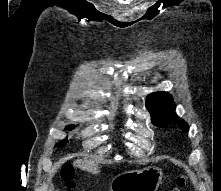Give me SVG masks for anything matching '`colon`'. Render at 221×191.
Here are the masks:
<instances>
[{"instance_id": "5ec220e1", "label": "colon", "mask_w": 221, "mask_h": 191, "mask_svg": "<svg viewBox=\"0 0 221 191\" xmlns=\"http://www.w3.org/2000/svg\"><path fill=\"white\" fill-rule=\"evenodd\" d=\"M60 177L67 189L69 190L75 189L76 187L75 171H74L73 166L70 163H66L63 165ZM183 186H184V180L180 179L177 187L173 191H181Z\"/></svg>"}]
</instances>
